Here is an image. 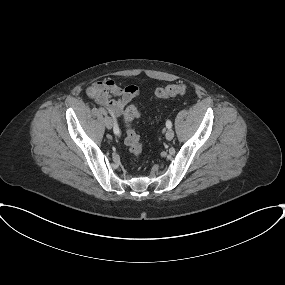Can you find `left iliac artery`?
I'll return each instance as SVG.
<instances>
[{
    "label": "left iliac artery",
    "mask_w": 285,
    "mask_h": 285,
    "mask_svg": "<svg viewBox=\"0 0 285 285\" xmlns=\"http://www.w3.org/2000/svg\"><path fill=\"white\" fill-rule=\"evenodd\" d=\"M166 127H167L168 129H170V128L172 127V123H171L170 120H167V121H166Z\"/></svg>",
    "instance_id": "1"
}]
</instances>
